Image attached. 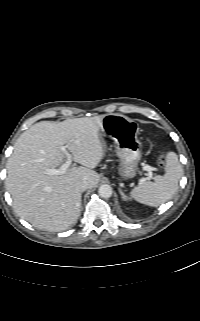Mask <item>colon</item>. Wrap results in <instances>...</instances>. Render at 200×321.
I'll use <instances>...</instances> for the list:
<instances>
[{
	"label": "colon",
	"instance_id": "1",
	"mask_svg": "<svg viewBox=\"0 0 200 321\" xmlns=\"http://www.w3.org/2000/svg\"><path fill=\"white\" fill-rule=\"evenodd\" d=\"M164 158L161 156L160 158H159V164L161 165V166H163L164 165Z\"/></svg>",
	"mask_w": 200,
	"mask_h": 321
}]
</instances>
